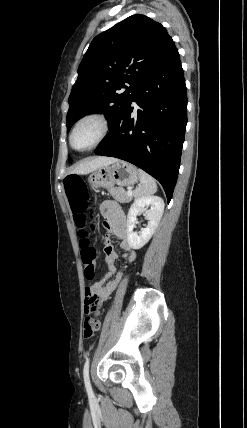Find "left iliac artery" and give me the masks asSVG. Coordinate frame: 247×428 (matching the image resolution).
<instances>
[{"mask_svg": "<svg viewBox=\"0 0 247 428\" xmlns=\"http://www.w3.org/2000/svg\"><path fill=\"white\" fill-rule=\"evenodd\" d=\"M89 361H90V359L87 358L86 362L84 364L83 377H84V383H85L86 390H87L88 394H91L92 388H91L90 379H89Z\"/></svg>", "mask_w": 247, "mask_h": 428, "instance_id": "1", "label": "left iliac artery"}]
</instances>
